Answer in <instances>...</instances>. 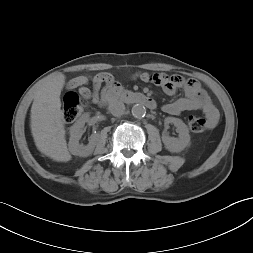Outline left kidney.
Returning a JSON list of instances; mask_svg holds the SVG:
<instances>
[{"label":"left kidney","instance_id":"left-kidney-1","mask_svg":"<svg viewBox=\"0 0 253 253\" xmlns=\"http://www.w3.org/2000/svg\"><path fill=\"white\" fill-rule=\"evenodd\" d=\"M174 124L179 133L178 138L169 137L166 134H163L162 141L170 152H180L184 150L190 143V135L187 125L179 118L167 117L165 118L164 124L165 128H168L169 124Z\"/></svg>","mask_w":253,"mask_h":253}]
</instances>
